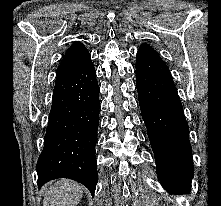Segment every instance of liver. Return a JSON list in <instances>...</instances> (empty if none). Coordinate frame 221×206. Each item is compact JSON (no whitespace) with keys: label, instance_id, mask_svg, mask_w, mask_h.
<instances>
[{"label":"liver","instance_id":"6515ba94","mask_svg":"<svg viewBox=\"0 0 221 206\" xmlns=\"http://www.w3.org/2000/svg\"><path fill=\"white\" fill-rule=\"evenodd\" d=\"M82 196L81 185L69 179H61L45 191L43 206H76Z\"/></svg>","mask_w":221,"mask_h":206}]
</instances>
